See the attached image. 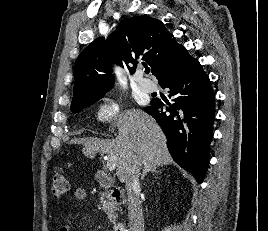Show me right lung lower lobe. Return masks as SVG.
<instances>
[{"label":"right lung lower lobe","mask_w":268,"mask_h":231,"mask_svg":"<svg viewBox=\"0 0 268 231\" xmlns=\"http://www.w3.org/2000/svg\"><path fill=\"white\" fill-rule=\"evenodd\" d=\"M174 102L153 99L144 110L152 115L168 142L174 161L201 183L206 175L213 136L215 97L209 77L198 60L165 74L159 81Z\"/></svg>","instance_id":"1"}]
</instances>
